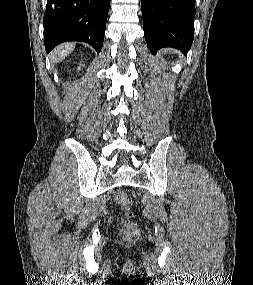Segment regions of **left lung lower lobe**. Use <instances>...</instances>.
I'll return each instance as SVG.
<instances>
[{
  "mask_svg": "<svg viewBox=\"0 0 253 285\" xmlns=\"http://www.w3.org/2000/svg\"><path fill=\"white\" fill-rule=\"evenodd\" d=\"M143 29L152 53L173 47L187 53L194 39V0H141Z\"/></svg>",
  "mask_w": 253,
  "mask_h": 285,
  "instance_id": "left-lung-lower-lobe-1",
  "label": "left lung lower lobe"
}]
</instances>
